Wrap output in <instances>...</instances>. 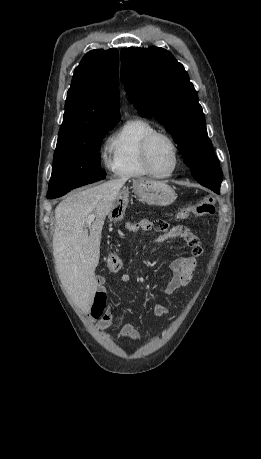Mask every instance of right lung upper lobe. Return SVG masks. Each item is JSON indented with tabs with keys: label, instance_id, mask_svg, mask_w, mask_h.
Masks as SVG:
<instances>
[{
	"label": "right lung upper lobe",
	"instance_id": "right-lung-upper-lobe-1",
	"mask_svg": "<svg viewBox=\"0 0 261 459\" xmlns=\"http://www.w3.org/2000/svg\"><path fill=\"white\" fill-rule=\"evenodd\" d=\"M119 53L91 50L75 68L67 92L59 138L105 123H117L119 115Z\"/></svg>",
	"mask_w": 261,
	"mask_h": 459
}]
</instances>
